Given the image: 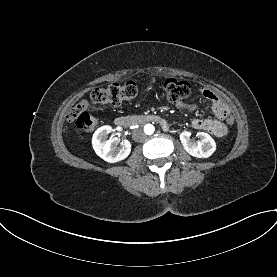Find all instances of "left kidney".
Instances as JSON below:
<instances>
[{
  "instance_id": "left-kidney-1",
  "label": "left kidney",
  "mask_w": 277,
  "mask_h": 277,
  "mask_svg": "<svg viewBox=\"0 0 277 277\" xmlns=\"http://www.w3.org/2000/svg\"><path fill=\"white\" fill-rule=\"evenodd\" d=\"M201 141L193 142L190 140V132L184 131L180 134L181 143L187 153L197 158H208L216 150L214 139L207 133L199 132L197 134Z\"/></svg>"
}]
</instances>
